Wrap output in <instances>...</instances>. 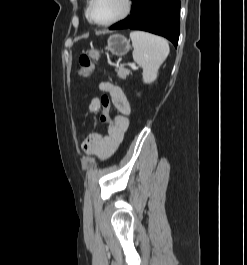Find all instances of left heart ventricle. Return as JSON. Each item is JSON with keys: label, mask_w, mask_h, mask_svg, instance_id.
<instances>
[{"label": "left heart ventricle", "mask_w": 247, "mask_h": 265, "mask_svg": "<svg viewBox=\"0 0 247 265\" xmlns=\"http://www.w3.org/2000/svg\"><path fill=\"white\" fill-rule=\"evenodd\" d=\"M122 9V0H95L91 14L95 21L106 22L117 16Z\"/></svg>", "instance_id": "obj_1"}]
</instances>
